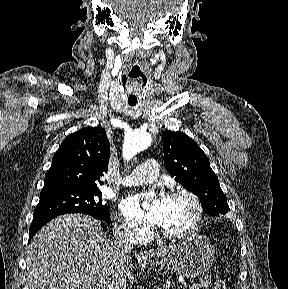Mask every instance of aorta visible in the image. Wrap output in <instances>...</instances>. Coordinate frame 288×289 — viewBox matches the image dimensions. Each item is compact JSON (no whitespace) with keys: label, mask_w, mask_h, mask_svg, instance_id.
<instances>
[{"label":"aorta","mask_w":288,"mask_h":289,"mask_svg":"<svg viewBox=\"0 0 288 289\" xmlns=\"http://www.w3.org/2000/svg\"><path fill=\"white\" fill-rule=\"evenodd\" d=\"M151 143V137L145 132H133L126 137L123 144V157L125 160H130L138 152L147 148ZM147 207V203L143 204Z\"/></svg>","instance_id":"1"}]
</instances>
